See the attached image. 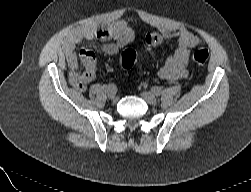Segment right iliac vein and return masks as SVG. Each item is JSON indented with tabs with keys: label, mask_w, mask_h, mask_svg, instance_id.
Listing matches in <instances>:
<instances>
[{
	"label": "right iliac vein",
	"mask_w": 251,
	"mask_h": 192,
	"mask_svg": "<svg viewBox=\"0 0 251 192\" xmlns=\"http://www.w3.org/2000/svg\"><path fill=\"white\" fill-rule=\"evenodd\" d=\"M108 97L112 101H117V99H118L115 92H108Z\"/></svg>",
	"instance_id": "1"
}]
</instances>
